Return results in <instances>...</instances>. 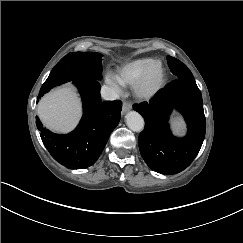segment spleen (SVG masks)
Segmentation results:
<instances>
[{
    "mask_svg": "<svg viewBox=\"0 0 243 243\" xmlns=\"http://www.w3.org/2000/svg\"><path fill=\"white\" fill-rule=\"evenodd\" d=\"M172 131L176 136H184L186 132V125L181 116L172 117L171 119Z\"/></svg>",
    "mask_w": 243,
    "mask_h": 243,
    "instance_id": "obj_1",
    "label": "spleen"
}]
</instances>
